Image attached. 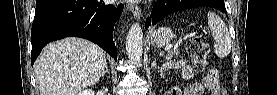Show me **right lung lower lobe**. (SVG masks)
<instances>
[{
	"label": "right lung lower lobe",
	"mask_w": 277,
	"mask_h": 95,
	"mask_svg": "<svg viewBox=\"0 0 277 95\" xmlns=\"http://www.w3.org/2000/svg\"><path fill=\"white\" fill-rule=\"evenodd\" d=\"M123 5H106L102 0H36L31 30V62L49 42L80 37L94 42L117 60L113 29Z\"/></svg>",
	"instance_id": "right-lung-lower-lobe-1"
}]
</instances>
